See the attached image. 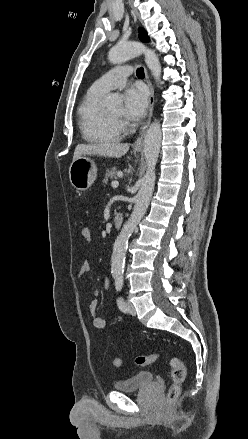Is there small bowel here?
<instances>
[{
	"mask_svg": "<svg viewBox=\"0 0 248 439\" xmlns=\"http://www.w3.org/2000/svg\"><path fill=\"white\" fill-rule=\"evenodd\" d=\"M90 270H91V264L88 260H85L80 266L77 277L80 280L86 279L90 273ZM104 285L106 289L109 288V280L107 277L105 278ZM96 296H97V291L93 289L92 298H90L88 301L89 310L93 319V325L98 329H103L106 327V320L103 317H100L97 313L98 301L96 299Z\"/></svg>",
	"mask_w": 248,
	"mask_h": 439,
	"instance_id": "1",
	"label": "small bowel"
}]
</instances>
